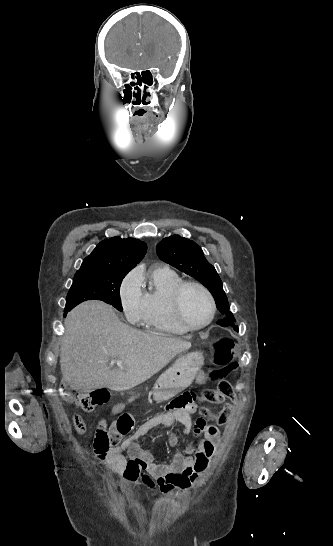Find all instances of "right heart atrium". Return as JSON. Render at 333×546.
Returning a JSON list of instances; mask_svg holds the SVG:
<instances>
[{
	"label": "right heart atrium",
	"instance_id": "d8ad5b80",
	"mask_svg": "<svg viewBox=\"0 0 333 546\" xmlns=\"http://www.w3.org/2000/svg\"><path fill=\"white\" fill-rule=\"evenodd\" d=\"M120 304L125 318L130 323H138L143 316L141 276L138 271L129 272L120 285Z\"/></svg>",
	"mask_w": 333,
	"mask_h": 546
}]
</instances>
